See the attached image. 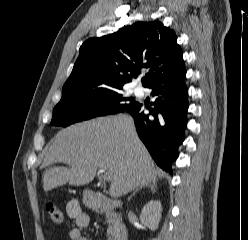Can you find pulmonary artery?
Listing matches in <instances>:
<instances>
[{
  "mask_svg": "<svg viewBox=\"0 0 248 240\" xmlns=\"http://www.w3.org/2000/svg\"><path fill=\"white\" fill-rule=\"evenodd\" d=\"M134 92L136 95H139V96L143 95V89L141 87H136L134 89Z\"/></svg>",
  "mask_w": 248,
  "mask_h": 240,
  "instance_id": "1",
  "label": "pulmonary artery"
}]
</instances>
